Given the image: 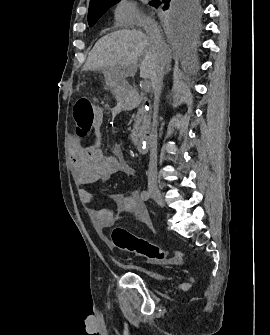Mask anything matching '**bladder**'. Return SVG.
Masks as SVG:
<instances>
[{
	"label": "bladder",
	"mask_w": 270,
	"mask_h": 335,
	"mask_svg": "<svg viewBox=\"0 0 270 335\" xmlns=\"http://www.w3.org/2000/svg\"><path fill=\"white\" fill-rule=\"evenodd\" d=\"M151 276L153 277V278H157V279H163L164 278V276L162 275V274H160V273H151Z\"/></svg>",
	"instance_id": "1"
}]
</instances>
